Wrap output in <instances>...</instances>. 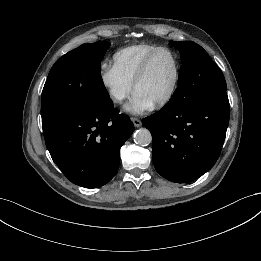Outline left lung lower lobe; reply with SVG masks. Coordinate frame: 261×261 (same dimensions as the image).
Listing matches in <instances>:
<instances>
[{"instance_id": "1", "label": "left lung lower lobe", "mask_w": 261, "mask_h": 261, "mask_svg": "<svg viewBox=\"0 0 261 261\" xmlns=\"http://www.w3.org/2000/svg\"><path fill=\"white\" fill-rule=\"evenodd\" d=\"M226 91L200 97L183 107L165 105L143 125L152 133L156 171L177 183L191 182L217 161L229 123Z\"/></svg>"}]
</instances>
